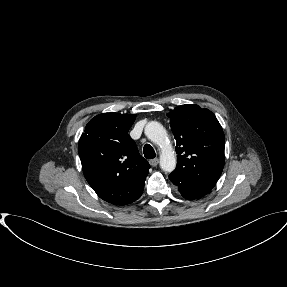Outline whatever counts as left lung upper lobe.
Returning <instances> with one entry per match:
<instances>
[{"instance_id":"1","label":"left lung upper lobe","mask_w":287,"mask_h":287,"mask_svg":"<svg viewBox=\"0 0 287 287\" xmlns=\"http://www.w3.org/2000/svg\"><path fill=\"white\" fill-rule=\"evenodd\" d=\"M176 139L177 167L169 175L180 192L206 195L224 167L225 138L215 115L197 105H181L167 114Z\"/></svg>"}]
</instances>
